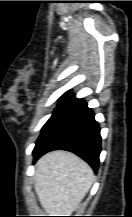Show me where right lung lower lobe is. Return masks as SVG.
I'll return each instance as SVG.
<instances>
[{
    "label": "right lung lower lobe",
    "mask_w": 132,
    "mask_h": 217,
    "mask_svg": "<svg viewBox=\"0 0 132 217\" xmlns=\"http://www.w3.org/2000/svg\"><path fill=\"white\" fill-rule=\"evenodd\" d=\"M52 150L73 152L97 172L101 152L100 129L83 99H75L49 123L36 142L34 162Z\"/></svg>",
    "instance_id": "obj_1"
}]
</instances>
